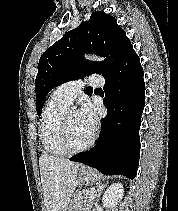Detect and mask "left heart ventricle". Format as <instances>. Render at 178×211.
Masks as SVG:
<instances>
[{
  "label": "left heart ventricle",
  "mask_w": 178,
  "mask_h": 211,
  "mask_svg": "<svg viewBox=\"0 0 178 211\" xmlns=\"http://www.w3.org/2000/svg\"><path fill=\"white\" fill-rule=\"evenodd\" d=\"M93 130L89 129L80 119L77 111H70L68 116L69 143L73 148H79L91 138Z\"/></svg>",
  "instance_id": "b2bd125f"
}]
</instances>
